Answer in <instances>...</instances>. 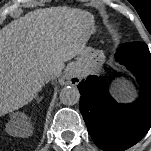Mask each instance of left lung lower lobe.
I'll return each mask as SVG.
<instances>
[{
    "label": "left lung lower lobe",
    "instance_id": "0a47b994",
    "mask_svg": "<svg viewBox=\"0 0 151 151\" xmlns=\"http://www.w3.org/2000/svg\"><path fill=\"white\" fill-rule=\"evenodd\" d=\"M115 60L125 65L140 86L138 99L117 103L103 76L90 75L78 84L80 111L95 144L105 151H122L139 142L151 127V53L144 42L123 44Z\"/></svg>",
    "mask_w": 151,
    "mask_h": 151
}]
</instances>
